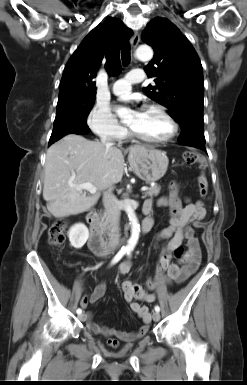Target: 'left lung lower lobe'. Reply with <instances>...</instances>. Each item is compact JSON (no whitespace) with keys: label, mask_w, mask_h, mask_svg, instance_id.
<instances>
[{"label":"left lung lower lobe","mask_w":247,"mask_h":385,"mask_svg":"<svg viewBox=\"0 0 247 385\" xmlns=\"http://www.w3.org/2000/svg\"><path fill=\"white\" fill-rule=\"evenodd\" d=\"M182 133L178 141L182 145L192 146L205 151L204 122H189L181 126Z\"/></svg>","instance_id":"1"}]
</instances>
